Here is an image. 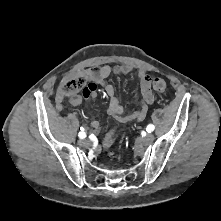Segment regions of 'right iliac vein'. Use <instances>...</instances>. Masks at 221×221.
Returning a JSON list of instances; mask_svg holds the SVG:
<instances>
[{"label":"right iliac vein","instance_id":"63e3f726","mask_svg":"<svg viewBox=\"0 0 221 221\" xmlns=\"http://www.w3.org/2000/svg\"><path fill=\"white\" fill-rule=\"evenodd\" d=\"M79 144L83 147H89L91 145V141L88 139H84V140L79 141Z\"/></svg>","mask_w":221,"mask_h":221}]
</instances>
